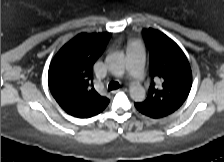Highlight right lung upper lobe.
<instances>
[{
	"mask_svg": "<svg viewBox=\"0 0 224 162\" xmlns=\"http://www.w3.org/2000/svg\"><path fill=\"white\" fill-rule=\"evenodd\" d=\"M110 37V33H81L66 43L52 60L48 72L50 91L61 108L74 117H92L109 103L93 87L92 66Z\"/></svg>",
	"mask_w": 224,
	"mask_h": 162,
	"instance_id": "1",
	"label": "right lung upper lobe"
}]
</instances>
